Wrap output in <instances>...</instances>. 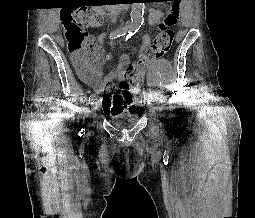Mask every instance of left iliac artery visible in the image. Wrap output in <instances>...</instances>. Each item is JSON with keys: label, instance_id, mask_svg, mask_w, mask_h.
Returning <instances> with one entry per match:
<instances>
[{"label": "left iliac artery", "instance_id": "44dca946", "mask_svg": "<svg viewBox=\"0 0 255 218\" xmlns=\"http://www.w3.org/2000/svg\"><path fill=\"white\" fill-rule=\"evenodd\" d=\"M135 34V32H130L127 37H126V40H128L129 38H131L133 35ZM146 99L148 102H151L152 101V96L150 94H147L146 95Z\"/></svg>", "mask_w": 255, "mask_h": 218}]
</instances>
